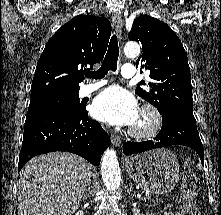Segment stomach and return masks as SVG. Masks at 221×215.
I'll return each mask as SVG.
<instances>
[{
  "label": "stomach",
  "instance_id": "obj_1",
  "mask_svg": "<svg viewBox=\"0 0 221 215\" xmlns=\"http://www.w3.org/2000/svg\"><path fill=\"white\" fill-rule=\"evenodd\" d=\"M129 176L145 191L163 194L171 191L179 180V164L166 148L132 156L125 162Z\"/></svg>",
  "mask_w": 221,
  "mask_h": 215
}]
</instances>
